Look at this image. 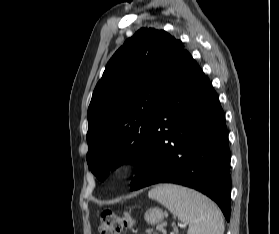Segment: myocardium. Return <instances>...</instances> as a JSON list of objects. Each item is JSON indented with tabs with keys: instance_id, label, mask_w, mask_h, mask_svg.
Masks as SVG:
<instances>
[{
	"instance_id": "1",
	"label": "myocardium",
	"mask_w": 279,
	"mask_h": 234,
	"mask_svg": "<svg viewBox=\"0 0 279 234\" xmlns=\"http://www.w3.org/2000/svg\"><path fill=\"white\" fill-rule=\"evenodd\" d=\"M138 163L139 160L136 156H126L117 163L115 167V174L119 177L125 176L134 170Z\"/></svg>"
}]
</instances>
